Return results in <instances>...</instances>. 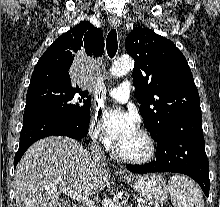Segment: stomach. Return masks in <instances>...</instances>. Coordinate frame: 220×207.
Masks as SVG:
<instances>
[{"instance_id":"0dacf381","label":"stomach","mask_w":220,"mask_h":207,"mask_svg":"<svg viewBox=\"0 0 220 207\" xmlns=\"http://www.w3.org/2000/svg\"><path fill=\"white\" fill-rule=\"evenodd\" d=\"M122 179L146 200L163 202L167 199L168 186L159 175L122 176Z\"/></svg>"}]
</instances>
